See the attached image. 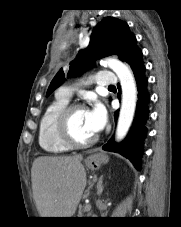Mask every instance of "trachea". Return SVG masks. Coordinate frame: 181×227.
I'll use <instances>...</instances> for the list:
<instances>
[{"label":"trachea","mask_w":181,"mask_h":227,"mask_svg":"<svg viewBox=\"0 0 181 227\" xmlns=\"http://www.w3.org/2000/svg\"><path fill=\"white\" fill-rule=\"evenodd\" d=\"M109 88H115V86H113V85H110V86H109Z\"/></svg>","instance_id":"trachea-1"}]
</instances>
